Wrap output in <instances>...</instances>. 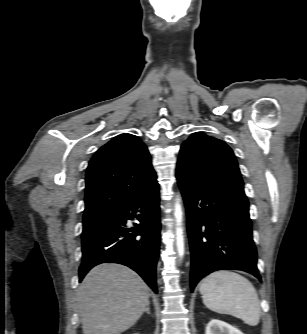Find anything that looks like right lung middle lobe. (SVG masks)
Segmentation results:
<instances>
[{
  "label": "right lung middle lobe",
  "instance_id": "right-lung-middle-lobe-1",
  "mask_svg": "<svg viewBox=\"0 0 307 334\" xmlns=\"http://www.w3.org/2000/svg\"><path fill=\"white\" fill-rule=\"evenodd\" d=\"M110 218V214H98L83 217L82 238L101 226Z\"/></svg>",
  "mask_w": 307,
  "mask_h": 334
}]
</instances>
